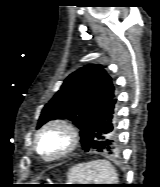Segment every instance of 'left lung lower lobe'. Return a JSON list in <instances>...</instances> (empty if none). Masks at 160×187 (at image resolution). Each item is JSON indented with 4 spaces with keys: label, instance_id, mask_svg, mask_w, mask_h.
Here are the masks:
<instances>
[{
    "label": "left lung lower lobe",
    "instance_id": "1",
    "mask_svg": "<svg viewBox=\"0 0 160 187\" xmlns=\"http://www.w3.org/2000/svg\"><path fill=\"white\" fill-rule=\"evenodd\" d=\"M115 103L116 100L113 99L101 113L93 130L84 134V142L89 146L87 151L95 150L111 154L116 149L117 142L110 136L114 129L112 119Z\"/></svg>",
    "mask_w": 160,
    "mask_h": 187
}]
</instances>
